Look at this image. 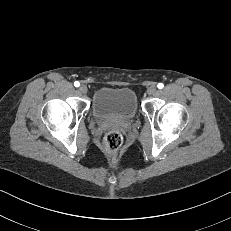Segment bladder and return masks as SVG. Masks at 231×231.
Wrapping results in <instances>:
<instances>
[{"instance_id":"31cf9c89","label":"bladder","mask_w":231,"mask_h":231,"mask_svg":"<svg viewBox=\"0 0 231 231\" xmlns=\"http://www.w3.org/2000/svg\"><path fill=\"white\" fill-rule=\"evenodd\" d=\"M137 111V97L130 88L103 87L93 95L92 113L98 119L128 121Z\"/></svg>"}]
</instances>
